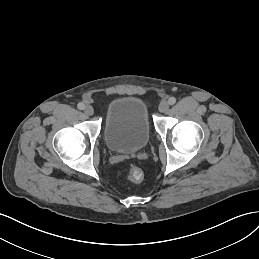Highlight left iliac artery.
I'll return each mask as SVG.
<instances>
[{
    "instance_id": "1",
    "label": "left iliac artery",
    "mask_w": 259,
    "mask_h": 259,
    "mask_svg": "<svg viewBox=\"0 0 259 259\" xmlns=\"http://www.w3.org/2000/svg\"><path fill=\"white\" fill-rule=\"evenodd\" d=\"M168 103H169V105L175 104V103H176V98H175V97H170V98L168 99Z\"/></svg>"
}]
</instances>
